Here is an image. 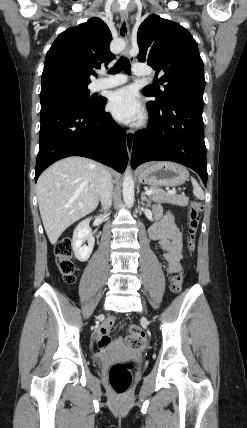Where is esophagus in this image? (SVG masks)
I'll list each match as a JSON object with an SVG mask.
<instances>
[{
    "label": "esophagus",
    "instance_id": "1",
    "mask_svg": "<svg viewBox=\"0 0 247 428\" xmlns=\"http://www.w3.org/2000/svg\"><path fill=\"white\" fill-rule=\"evenodd\" d=\"M119 34L124 40L126 41L127 50L130 48V30H129V24H128V11L122 10L121 11V21L119 25ZM128 59L131 63L134 62L135 58L128 55ZM125 141H126V147L129 157L132 154L133 149V142H134V134L131 130H126L125 132Z\"/></svg>",
    "mask_w": 247,
    "mask_h": 428
}]
</instances>
